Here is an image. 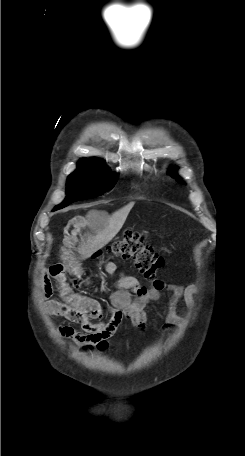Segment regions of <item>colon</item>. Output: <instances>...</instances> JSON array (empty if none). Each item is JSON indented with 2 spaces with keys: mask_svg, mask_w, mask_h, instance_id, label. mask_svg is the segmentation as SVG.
Wrapping results in <instances>:
<instances>
[{
  "mask_svg": "<svg viewBox=\"0 0 245 456\" xmlns=\"http://www.w3.org/2000/svg\"><path fill=\"white\" fill-rule=\"evenodd\" d=\"M108 250L122 259H132L137 270L152 283L155 289L161 290L166 287L165 282L157 276L163 261L141 233L134 231L124 233L121 238L108 246Z\"/></svg>",
  "mask_w": 245,
  "mask_h": 456,
  "instance_id": "1",
  "label": "colon"
}]
</instances>
